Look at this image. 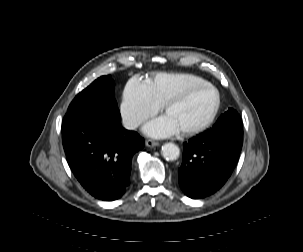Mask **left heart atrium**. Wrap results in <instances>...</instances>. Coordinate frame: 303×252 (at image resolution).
<instances>
[{
	"mask_svg": "<svg viewBox=\"0 0 303 252\" xmlns=\"http://www.w3.org/2000/svg\"><path fill=\"white\" fill-rule=\"evenodd\" d=\"M177 127L171 119L164 115L149 121L143 128L146 135L153 138H165L174 135Z\"/></svg>",
	"mask_w": 303,
	"mask_h": 252,
	"instance_id": "39dd6f15",
	"label": "left heart atrium"
}]
</instances>
